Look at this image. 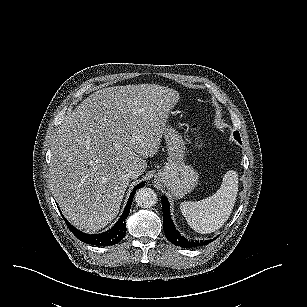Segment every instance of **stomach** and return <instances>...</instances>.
Here are the masks:
<instances>
[{
  "mask_svg": "<svg viewBox=\"0 0 307 307\" xmlns=\"http://www.w3.org/2000/svg\"><path fill=\"white\" fill-rule=\"evenodd\" d=\"M167 159L155 181L163 184L175 198L191 193L199 183V172L188 163L187 140L175 126L165 125L162 131Z\"/></svg>",
  "mask_w": 307,
  "mask_h": 307,
  "instance_id": "stomach-1",
  "label": "stomach"
}]
</instances>
